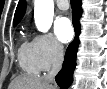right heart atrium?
<instances>
[{
	"label": "right heart atrium",
	"instance_id": "1",
	"mask_svg": "<svg viewBox=\"0 0 107 89\" xmlns=\"http://www.w3.org/2000/svg\"><path fill=\"white\" fill-rule=\"evenodd\" d=\"M33 45L41 70H48L62 59L63 48L50 33L36 35Z\"/></svg>",
	"mask_w": 107,
	"mask_h": 89
}]
</instances>
